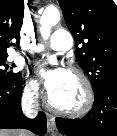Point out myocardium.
Segmentation results:
<instances>
[{"label":"myocardium","mask_w":117,"mask_h":136,"mask_svg":"<svg viewBox=\"0 0 117 136\" xmlns=\"http://www.w3.org/2000/svg\"><path fill=\"white\" fill-rule=\"evenodd\" d=\"M67 71L72 75H74L75 77H77L78 80L80 81L84 93V98L82 103L75 108H63L54 104L50 95H48L47 104L51 110H53L54 112L60 115L73 117V118L82 117L87 113H89L93 108L95 101V93H94L93 85L90 79L88 78V76L81 69L77 67H70Z\"/></svg>","instance_id":"f54148a6"}]
</instances>
